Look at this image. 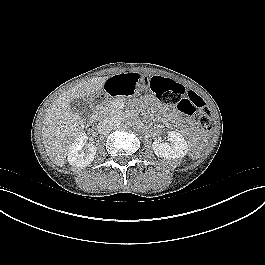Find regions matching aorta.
<instances>
[{
    "instance_id": "1",
    "label": "aorta",
    "mask_w": 265,
    "mask_h": 265,
    "mask_svg": "<svg viewBox=\"0 0 265 265\" xmlns=\"http://www.w3.org/2000/svg\"><path fill=\"white\" fill-rule=\"evenodd\" d=\"M110 121L112 122V124H113L114 126H119V125H121L122 122H123V117H122V115H120V112H118V113H114V114L111 116Z\"/></svg>"
}]
</instances>
